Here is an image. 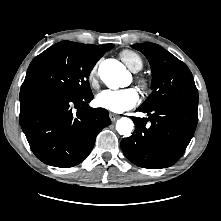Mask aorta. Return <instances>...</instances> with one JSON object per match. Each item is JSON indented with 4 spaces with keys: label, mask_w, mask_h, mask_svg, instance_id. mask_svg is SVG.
I'll use <instances>...</instances> for the list:
<instances>
[{
    "label": "aorta",
    "mask_w": 221,
    "mask_h": 221,
    "mask_svg": "<svg viewBox=\"0 0 221 221\" xmlns=\"http://www.w3.org/2000/svg\"><path fill=\"white\" fill-rule=\"evenodd\" d=\"M98 73L109 88L116 89L122 86V79L127 74V70L117 61L105 60L99 65ZM133 128V121L127 117H122L116 122V130L123 136H129Z\"/></svg>",
    "instance_id": "obj_1"
}]
</instances>
